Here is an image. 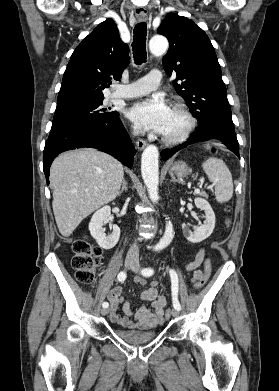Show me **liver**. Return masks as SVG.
<instances>
[{
    "instance_id": "liver-1",
    "label": "liver",
    "mask_w": 279,
    "mask_h": 391,
    "mask_svg": "<svg viewBox=\"0 0 279 391\" xmlns=\"http://www.w3.org/2000/svg\"><path fill=\"white\" fill-rule=\"evenodd\" d=\"M124 179L123 165L93 148L65 152L50 169L53 212L59 232L69 237L81 221L113 201Z\"/></svg>"
}]
</instances>
